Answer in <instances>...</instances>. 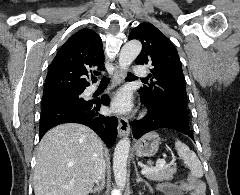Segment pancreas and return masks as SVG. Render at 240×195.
<instances>
[{
    "mask_svg": "<svg viewBox=\"0 0 240 195\" xmlns=\"http://www.w3.org/2000/svg\"><path fill=\"white\" fill-rule=\"evenodd\" d=\"M177 167H163V169H158V171H150L146 173L148 179H153V181H169L173 179V173H176Z\"/></svg>",
    "mask_w": 240,
    "mask_h": 195,
    "instance_id": "cf45deb5",
    "label": "pancreas"
}]
</instances>
